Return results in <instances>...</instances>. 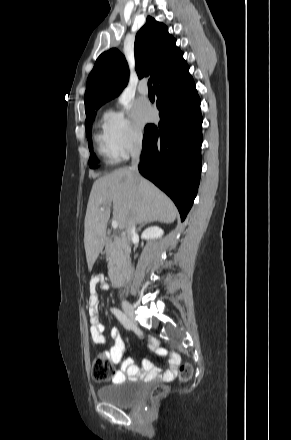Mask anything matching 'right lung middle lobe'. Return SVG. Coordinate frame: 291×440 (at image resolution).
Instances as JSON below:
<instances>
[{
	"label": "right lung middle lobe",
	"instance_id": "1",
	"mask_svg": "<svg viewBox=\"0 0 291 440\" xmlns=\"http://www.w3.org/2000/svg\"><path fill=\"white\" fill-rule=\"evenodd\" d=\"M99 107H95L93 109H91L89 112L86 113V121H85V125H86V135H87V139H88V146H89V151H90V158H89V166L91 168H95V162H96V156L93 153V146H92V141H91V124L95 118V109H98Z\"/></svg>",
	"mask_w": 291,
	"mask_h": 440
}]
</instances>
